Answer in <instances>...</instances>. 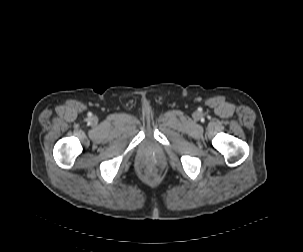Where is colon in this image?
<instances>
[{
	"label": "colon",
	"mask_w": 303,
	"mask_h": 252,
	"mask_svg": "<svg viewBox=\"0 0 303 252\" xmlns=\"http://www.w3.org/2000/svg\"><path fill=\"white\" fill-rule=\"evenodd\" d=\"M149 173H150L151 175H154V174H155V170H154V169H151V170L149 171Z\"/></svg>",
	"instance_id": "obj_1"
}]
</instances>
